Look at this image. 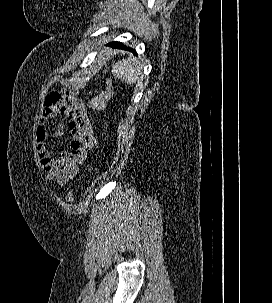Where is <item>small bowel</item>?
<instances>
[{
  "mask_svg": "<svg viewBox=\"0 0 272 303\" xmlns=\"http://www.w3.org/2000/svg\"><path fill=\"white\" fill-rule=\"evenodd\" d=\"M58 116L68 119L69 149L52 150L53 139L64 132L62 124H56ZM38 160L46 173V179L60 186L72 180L87 158L88 151L96 145L94 128L88 109L79 92L54 91L47 95L36 129Z\"/></svg>",
  "mask_w": 272,
  "mask_h": 303,
  "instance_id": "obj_1",
  "label": "small bowel"
}]
</instances>
